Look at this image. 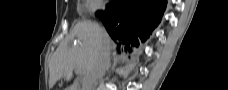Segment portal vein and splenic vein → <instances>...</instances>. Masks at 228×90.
I'll list each match as a JSON object with an SVG mask.
<instances>
[{
    "mask_svg": "<svg viewBox=\"0 0 228 90\" xmlns=\"http://www.w3.org/2000/svg\"><path fill=\"white\" fill-rule=\"evenodd\" d=\"M77 73L80 74V75H84V72L81 68H77L76 69Z\"/></svg>",
    "mask_w": 228,
    "mask_h": 90,
    "instance_id": "obj_1",
    "label": "portal vein and splenic vein"
}]
</instances>
